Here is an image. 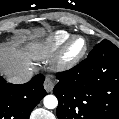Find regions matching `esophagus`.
<instances>
[{
  "label": "esophagus",
  "instance_id": "1",
  "mask_svg": "<svg viewBox=\"0 0 119 119\" xmlns=\"http://www.w3.org/2000/svg\"><path fill=\"white\" fill-rule=\"evenodd\" d=\"M55 83L51 77L47 76L44 80V88L47 92H52L54 89Z\"/></svg>",
  "mask_w": 119,
  "mask_h": 119
}]
</instances>
